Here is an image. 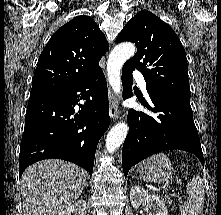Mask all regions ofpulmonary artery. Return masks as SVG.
Instances as JSON below:
<instances>
[{"mask_svg":"<svg viewBox=\"0 0 221 215\" xmlns=\"http://www.w3.org/2000/svg\"><path fill=\"white\" fill-rule=\"evenodd\" d=\"M133 76L138 81L141 90L144 93H146V82H145L143 76L141 75V73L139 71L135 70V71H133Z\"/></svg>","mask_w":221,"mask_h":215,"instance_id":"1","label":"pulmonary artery"}]
</instances>
